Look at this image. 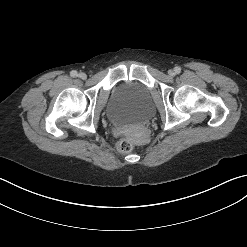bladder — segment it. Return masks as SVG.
Wrapping results in <instances>:
<instances>
[{"label":"bladder","instance_id":"31cf9c89","mask_svg":"<svg viewBox=\"0 0 247 247\" xmlns=\"http://www.w3.org/2000/svg\"><path fill=\"white\" fill-rule=\"evenodd\" d=\"M155 106L148 87L139 82L117 85L106 109L114 124H141L154 114Z\"/></svg>","mask_w":247,"mask_h":247}]
</instances>
